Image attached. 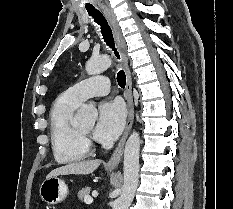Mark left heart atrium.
Listing matches in <instances>:
<instances>
[{
	"mask_svg": "<svg viewBox=\"0 0 233 209\" xmlns=\"http://www.w3.org/2000/svg\"><path fill=\"white\" fill-rule=\"evenodd\" d=\"M125 123V110L118 101L100 104L94 138L100 142H111L121 133Z\"/></svg>",
	"mask_w": 233,
	"mask_h": 209,
	"instance_id": "left-heart-atrium-1",
	"label": "left heart atrium"
}]
</instances>
